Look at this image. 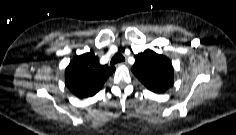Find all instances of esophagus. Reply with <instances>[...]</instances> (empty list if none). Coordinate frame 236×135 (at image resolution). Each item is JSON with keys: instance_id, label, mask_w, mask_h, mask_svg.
<instances>
[{"instance_id": "1", "label": "esophagus", "mask_w": 236, "mask_h": 135, "mask_svg": "<svg viewBox=\"0 0 236 135\" xmlns=\"http://www.w3.org/2000/svg\"><path fill=\"white\" fill-rule=\"evenodd\" d=\"M118 65H127V61L121 62Z\"/></svg>"}]
</instances>
